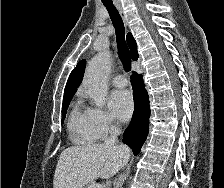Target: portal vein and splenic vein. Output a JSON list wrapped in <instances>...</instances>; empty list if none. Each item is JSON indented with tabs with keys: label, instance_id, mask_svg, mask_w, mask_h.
Returning <instances> with one entry per match:
<instances>
[{
	"label": "portal vein and splenic vein",
	"instance_id": "obj_1",
	"mask_svg": "<svg viewBox=\"0 0 224 188\" xmlns=\"http://www.w3.org/2000/svg\"><path fill=\"white\" fill-rule=\"evenodd\" d=\"M91 188H104V186L101 184H92Z\"/></svg>",
	"mask_w": 224,
	"mask_h": 188
}]
</instances>
